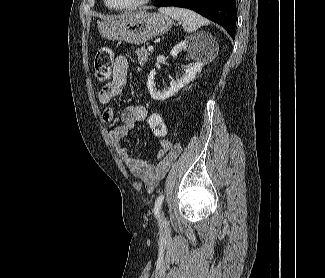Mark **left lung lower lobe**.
Wrapping results in <instances>:
<instances>
[{"instance_id": "1", "label": "left lung lower lobe", "mask_w": 325, "mask_h": 278, "mask_svg": "<svg viewBox=\"0 0 325 278\" xmlns=\"http://www.w3.org/2000/svg\"><path fill=\"white\" fill-rule=\"evenodd\" d=\"M158 7H183L222 25L232 38H235L237 9L235 0H155Z\"/></svg>"}]
</instances>
